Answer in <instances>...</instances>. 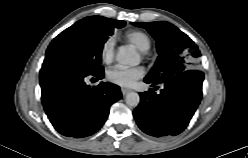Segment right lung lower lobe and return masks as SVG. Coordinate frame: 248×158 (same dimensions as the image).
<instances>
[{"instance_id":"right-lung-lower-lobe-1","label":"right lung lower lobe","mask_w":248,"mask_h":158,"mask_svg":"<svg viewBox=\"0 0 248 158\" xmlns=\"http://www.w3.org/2000/svg\"><path fill=\"white\" fill-rule=\"evenodd\" d=\"M87 76L102 79L104 70L93 73L63 67L40 70L45 112L64 136L82 138L97 132L106 121L110 106L122 97L120 88L111 83L90 87L84 82Z\"/></svg>"}]
</instances>
